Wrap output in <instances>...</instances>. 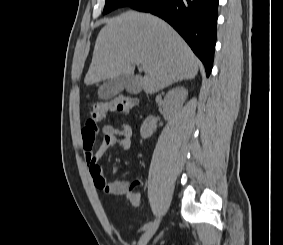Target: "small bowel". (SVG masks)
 <instances>
[{
	"mask_svg": "<svg viewBox=\"0 0 283 245\" xmlns=\"http://www.w3.org/2000/svg\"><path fill=\"white\" fill-rule=\"evenodd\" d=\"M98 121L87 120L82 128L81 137L85 153V160L89 166L90 174L97 189L109 195H125L129 186L126 181H107L101 165V158L110 147L117 146L122 150H129L132 144L133 129L129 124L121 123L118 127L104 125L98 127ZM101 132L103 140L97 150H94L97 134ZM115 169L114 173H119Z\"/></svg>",
	"mask_w": 283,
	"mask_h": 245,
	"instance_id": "obj_1",
	"label": "small bowel"
}]
</instances>
